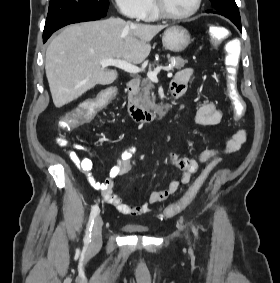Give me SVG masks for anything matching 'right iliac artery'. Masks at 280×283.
Masks as SVG:
<instances>
[{
  "instance_id": "right-iliac-artery-1",
  "label": "right iliac artery",
  "mask_w": 280,
  "mask_h": 283,
  "mask_svg": "<svg viewBox=\"0 0 280 283\" xmlns=\"http://www.w3.org/2000/svg\"><path fill=\"white\" fill-rule=\"evenodd\" d=\"M98 213H99V207H98V205H94L91 209L89 222H88L87 229H86V235L84 237L85 243H89L91 241L92 226H93V223H94V219H95V217L97 216Z\"/></svg>"
}]
</instances>
